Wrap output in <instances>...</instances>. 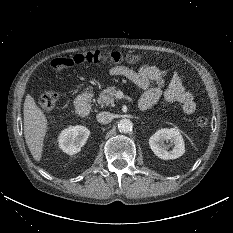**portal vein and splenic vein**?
Returning <instances> with one entry per match:
<instances>
[{
    "label": "portal vein and splenic vein",
    "instance_id": "1",
    "mask_svg": "<svg viewBox=\"0 0 233 233\" xmlns=\"http://www.w3.org/2000/svg\"><path fill=\"white\" fill-rule=\"evenodd\" d=\"M119 96H121V92H118V93H117V97H119Z\"/></svg>",
    "mask_w": 233,
    "mask_h": 233
}]
</instances>
